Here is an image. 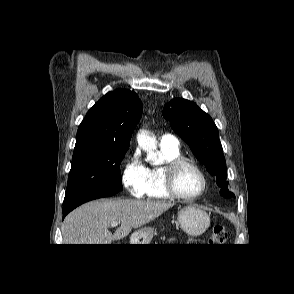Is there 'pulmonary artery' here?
Segmentation results:
<instances>
[{
    "label": "pulmonary artery",
    "mask_w": 294,
    "mask_h": 294,
    "mask_svg": "<svg viewBox=\"0 0 294 294\" xmlns=\"http://www.w3.org/2000/svg\"><path fill=\"white\" fill-rule=\"evenodd\" d=\"M159 145L162 147L178 148L179 142L175 136L164 134L159 138Z\"/></svg>",
    "instance_id": "e3ab8cb5"
}]
</instances>
